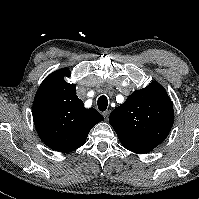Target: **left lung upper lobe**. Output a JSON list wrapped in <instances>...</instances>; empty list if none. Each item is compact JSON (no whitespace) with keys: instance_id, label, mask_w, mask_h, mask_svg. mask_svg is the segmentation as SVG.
<instances>
[{"instance_id":"left-lung-upper-lobe-1","label":"left lung upper lobe","mask_w":199,"mask_h":199,"mask_svg":"<svg viewBox=\"0 0 199 199\" xmlns=\"http://www.w3.org/2000/svg\"><path fill=\"white\" fill-rule=\"evenodd\" d=\"M109 122L116 133L159 145L173 126V104L166 90L153 81L115 108Z\"/></svg>"}]
</instances>
